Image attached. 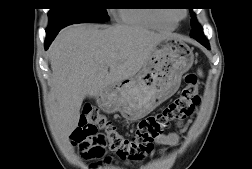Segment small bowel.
I'll return each instance as SVG.
<instances>
[{"instance_id":"obj_1","label":"small bowel","mask_w":252,"mask_h":169,"mask_svg":"<svg viewBox=\"0 0 252 169\" xmlns=\"http://www.w3.org/2000/svg\"><path fill=\"white\" fill-rule=\"evenodd\" d=\"M182 123H179L178 126H181ZM179 136L176 132H170L168 134H164L159 136L155 140V144L161 145V146H174L178 143Z\"/></svg>"}]
</instances>
